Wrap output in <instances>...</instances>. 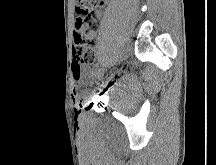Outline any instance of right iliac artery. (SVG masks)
Masks as SVG:
<instances>
[{"label": "right iliac artery", "instance_id": "obj_1", "mask_svg": "<svg viewBox=\"0 0 216 165\" xmlns=\"http://www.w3.org/2000/svg\"><path fill=\"white\" fill-rule=\"evenodd\" d=\"M105 62L106 61L103 59L99 64H97L96 67H94V72H99V69L103 67Z\"/></svg>", "mask_w": 216, "mask_h": 165}]
</instances>
